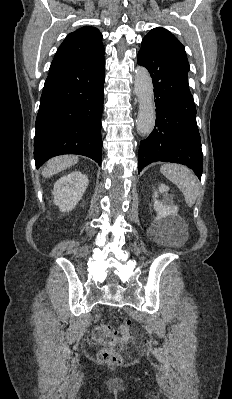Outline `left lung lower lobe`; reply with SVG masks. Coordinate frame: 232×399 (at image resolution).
<instances>
[{
    "instance_id": "0a47b994",
    "label": "left lung lower lobe",
    "mask_w": 232,
    "mask_h": 399,
    "mask_svg": "<svg viewBox=\"0 0 232 399\" xmlns=\"http://www.w3.org/2000/svg\"><path fill=\"white\" fill-rule=\"evenodd\" d=\"M137 62L148 69L156 98V125L140 142L138 172L152 162L164 161L186 165L201 179L203 154L188 72L159 46L142 45Z\"/></svg>"
}]
</instances>
